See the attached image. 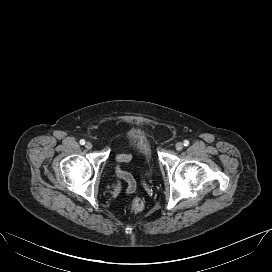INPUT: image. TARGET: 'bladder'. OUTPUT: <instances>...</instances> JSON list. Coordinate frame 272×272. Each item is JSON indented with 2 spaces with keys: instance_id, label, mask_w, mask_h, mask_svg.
Here are the masks:
<instances>
[{
  "instance_id": "obj_1",
  "label": "bladder",
  "mask_w": 272,
  "mask_h": 272,
  "mask_svg": "<svg viewBox=\"0 0 272 272\" xmlns=\"http://www.w3.org/2000/svg\"><path fill=\"white\" fill-rule=\"evenodd\" d=\"M138 150L141 152V154L146 157L147 160L150 159V148L147 145L139 146ZM152 175V168L149 165L148 170L146 174L144 175L145 178H149Z\"/></svg>"
}]
</instances>
